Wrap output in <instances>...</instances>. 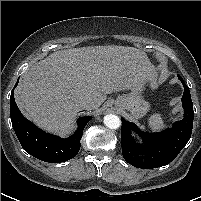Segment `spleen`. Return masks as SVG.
I'll return each mask as SVG.
<instances>
[{
    "label": "spleen",
    "instance_id": "1",
    "mask_svg": "<svg viewBox=\"0 0 201 201\" xmlns=\"http://www.w3.org/2000/svg\"><path fill=\"white\" fill-rule=\"evenodd\" d=\"M148 126L152 130H160L164 128L165 124L161 114L155 113L151 115L148 119Z\"/></svg>",
    "mask_w": 201,
    "mask_h": 201
}]
</instances>
